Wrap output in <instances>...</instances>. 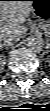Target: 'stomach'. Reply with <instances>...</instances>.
<instances>
[{"label":"stomach","mask_w":50,"mask_h":111,"mask_svg":"<svg viewBox=\"0 0 50 111\" xmlns=\"http://www.w3.org/2000/svg\"><path fill=\"white\" fill-rule=\"evenodd\" d=\"M32 14L42 23L50 22V0H33Z\"/></svg>","instance_id":"obj_1"}]
</instances>
